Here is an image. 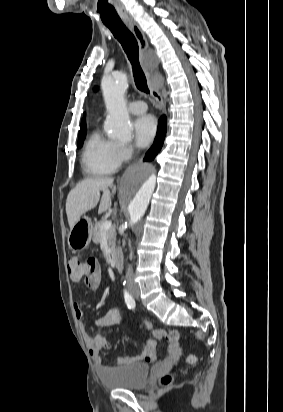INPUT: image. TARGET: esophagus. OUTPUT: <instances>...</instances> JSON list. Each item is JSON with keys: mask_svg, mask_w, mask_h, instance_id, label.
I'll use <instances>...</instances> for the list:
<instances>
[{"mask_svg": "<svg viewBox=\"0 0 283 412\" xmlns=\"http://www.w3.org/2000/svg\"><path fill=\"white\" fill-rule=\"evenodd\" d=\"M125 24L130 29V31L134 34L138 42L141 65L147 77L148 83L151 87V94L153 98L157 101V103L159 104V107L163 113L164 103H163V97L161 93L162 85L160 81L158 80L157 74H156L157 64L153 60L146 57V53L149 47L147 38L145 34L143 33V31L141 30V28L138 26V24L134 22L133 20L131 19L125 20Z\"/></svg>", "mask_w": 283, "mask_h": 412, "instance_id": "esophagus-1", "label": "esophagus"}]
</instances>
